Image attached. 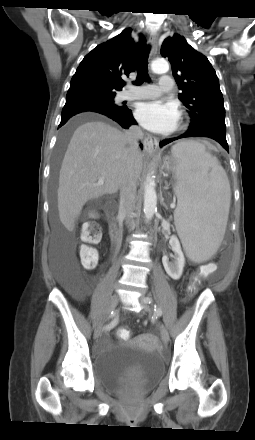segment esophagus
Masks as SVG:
<instances>
[{
	"mask_svg": "<svg viewBox=\"0 0 255 440\" xmlns=\"http://www.w3.org/2000/svg\"><path fill=\"white\" fill-rule=\"evenodd\" d=\"M158 38H159L158 33H154L150 36L149 41L151 44V52H150L151 58H153L157 53ZM158 144H159L158 140L152 136H146L143 140L144 150L149 154L154 153L158 149Z\"/></svg>",
	"mask_w": 255,
	"mask_h": 440,
	"instance_id": "obj_1",
	"label": "esophagus"
}]
</instances>
